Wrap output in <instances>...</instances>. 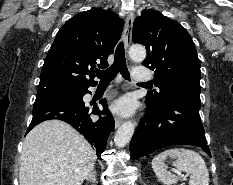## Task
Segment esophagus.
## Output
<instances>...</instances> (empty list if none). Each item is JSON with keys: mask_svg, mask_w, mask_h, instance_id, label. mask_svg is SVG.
I'll list each match as a JSON object with an SVG mask.
<instances>
[{"mask_svg": "<svg viewBox=\"0 0 233 185\" xmlns=\"http://www.w3.org/2000/svg\"><path fill=\"white\" fill-rule=\"evenodd\" d=\"M134 19H135L134 12L133 11L129 12L126 18L124 35H123L125 49H128L131 43L132 26H133ZM122 123H123V120L121 118H116L115 128H118Z\"/></svg>", "mask_w": 233, "mask_h": 185, "instance_id": "esophagus-1", "label": "esophagus"}]
</instances>
